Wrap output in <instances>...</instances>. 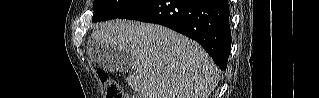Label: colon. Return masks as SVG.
I'll use <instances>...</instances> for the list:
<instances>
[{
    "instance_id": "colon-1",
    "label": "colon",
    "mask_w": 319,
    "mask_h": 98,
    "mask_svg": "<svg viewBox=\"0 0 319 98\" xmlns=\"http://www.w3.org/2000/svg\"><path fill=\"white\" fill-rule=\"evenodd\" d=\"M98 77L104 86L106 98H130L118 82L107 75L103 70L98 71Z\"/></svg>"
}]
</instances>
